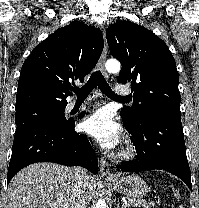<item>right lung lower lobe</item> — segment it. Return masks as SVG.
<instances>
[{"label": "right lung lower lobe", "instance_id": "98d812e1", "mask_svg": "<svg viewBox=\"0 0 199 208\" xmlns=\"http://www.w3.org/2000/svg\"><path fill=\"white\" fill-rule=\"evenodd\" d=\"M84 113L79 115L81 118ZM75 122L53 125L28 122L16 128L7 182L22 168L36 162H55L66 166H83L93 174L98 161L88 139L74 130Z\"/></svg>", "mask_w": 199, "mask_h": 208}]
</instances>
